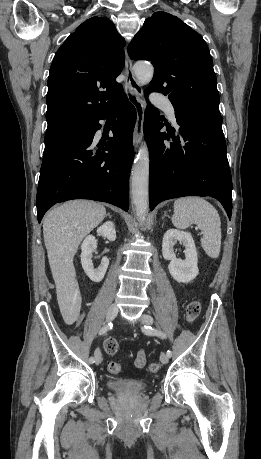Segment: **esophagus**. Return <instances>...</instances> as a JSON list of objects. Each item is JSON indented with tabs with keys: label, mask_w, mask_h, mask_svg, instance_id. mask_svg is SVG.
<instances>
[{
	"label": "esophagus",
	"mask_w": 261,
	"mask_h": 459,
	"mask_svg": "<svg viewBox=\"0 0 261 459\" xmlns=\"http://www.w3.org/2000/svg\"><path fill=\"white\" fill-rule=\"evenodd\" d=\"M125 73H126V90L129 100L132 102L136 109L137 119L133 135V145L138 148L143 136V123L145 106L142 100L143 90L140 83L137 81L134 71L132 60L130 59L127 50H125Z\"/></svg>",
	"instance_id": "obj_1"
}]
</instances>
